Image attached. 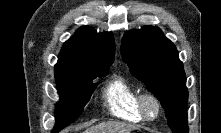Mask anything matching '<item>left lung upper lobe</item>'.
Returning a JSON list of instances; mask_svg holds the SVG:
<instances>
[{"mask_svg":"<svg viewBox=\"0 0 221 133\" xmlns=\"http://www.w3.org/2000/svg\"><path fill=\"white\" fill-rule=\"evenodd\" d=\"M121 52L131 73L161 101L172 132L188 133L186 77L173 43L158 27L145 26L126 33Z\"/></svg>","mask_w":221,"mask_h":133,"instance_id":"1","label":"left lung upper lobe"}]
</instances>
